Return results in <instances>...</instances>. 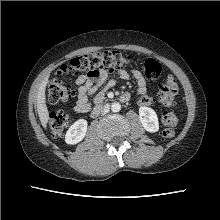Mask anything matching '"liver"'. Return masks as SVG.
I'll use <instances>...</instances> for the list:
<instances>
[{
	"mask_svg": "<svg viewBox=\"0 0 220 220\" xmlns=\"http://www.w3.org/2000/svg\"><path fill=\"white\" fill-rule=\"evenodd\" d=\"M49 76L47 75L44 80L40 83V86L37 91V112L40 119V122L44 128H46L49 120V111L46 105V95L45 90L48 83Z\"/></svg>",
	"mask_w": 220,
	"mask_h": 220,
	"instance_id": "liver-1",
	"label": "liver"
}]
</instances>
